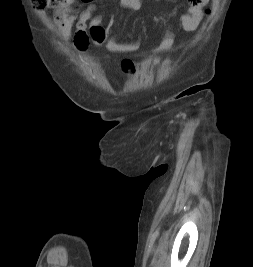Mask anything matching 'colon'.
I'll list each match as a JSON object with an SVG mask.
<instances>
[{"instance_id": "colon-1", "label": "colon", "mask_w": 253, "mask_h": 267, "mask_svg": "<svg viewBox=\"0 0 253 267\" xmlns=\"http://www.w3.org/2000/svg\"><path fill=\"white\" fill-rule=\"evenodd\" d=\"M71 0H33V5L37 9H44L47 6L63 7L68 5ZM90 39L96 47H106L108 33L102 26H91L89 29ZM122 68L128 73L134 72V62L131 59L122 61Z\"/></svg>"}]
</instances>
